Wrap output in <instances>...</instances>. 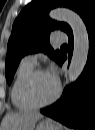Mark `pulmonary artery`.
Instances as JSON below:
<instances>
[{
    "mask_svg": "<svg viewBox=\"0 0 95 130\" xmlns=\"http://www.w3.org/2000/svg\"><path fill=\"white\" fill-rule=\"evenodd\" d=\"M66 40H67V36H66V34L64 32L59 31V32H56L54 34V41L55 42L63 43ZM22 61L27 62V63L32 64V65L35 64V58H34L33 55H26L22 59Z\"/></svg>",
    "mask_w": 95,
    "mask_h": 130,
    "instance_id": "e3ab8cb5",
    "label": "pulmonary artery"
}]
</instances>
